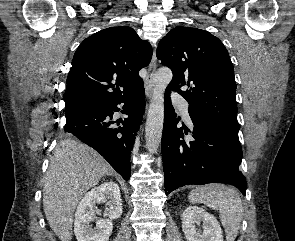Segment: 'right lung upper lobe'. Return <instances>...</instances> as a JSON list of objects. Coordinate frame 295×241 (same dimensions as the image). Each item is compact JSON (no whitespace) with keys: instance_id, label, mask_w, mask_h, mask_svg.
Returning <instances> with one entry per match:
<instances>
[{"instance_id":"right-lung-upper-lobe-1","label":"right lung upper lobe","mask_w":295,"mask_h":241,"mask_svg":"<svg viewBox=\"0 0 295 241\" xmlns=\"http://www.w3.org/2000/svg\"><path fill=\"white\" fill-rule=\"evenodd\" d=\"M152 48L128 26L110 27L84 39L67 77L65 115L130 95L143 85L138 75Z\"/></svg>"}]
</instances>
